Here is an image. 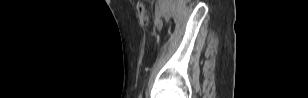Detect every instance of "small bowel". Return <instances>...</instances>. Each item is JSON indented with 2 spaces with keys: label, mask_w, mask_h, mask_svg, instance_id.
<instances>
[{
  "label": "small bowel",
  "mask_w": 308,
  "mask_h": 98,
  "mask_svg": "<svg viewBox=\"0 0 308 98\" xmlns=\"http://www.w3.org/2000/svg\"><path fill=\"white\" fill-rule=\"evenodd\" d=\"M157 27H160V24L157 23Z\"/></svg>",
  "instance_id": "c3829d8e"
}]
</instances>
